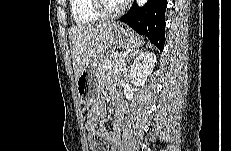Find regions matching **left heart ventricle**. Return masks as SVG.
<instances>
[{
    "instance_id": "b2bd125f",
    "label": "left heart ventricle",
    "mask_w": 231,
    "mask_h": 151,
    "mask_svg": "<svg viewBox=\"0 0 231 151\" xmlns=\"http://www.w3.org/2000/svg\"><path fill=\"white\" fill-rule=\"evenodd\" d=\"M105 4L107 9L113 12L118 9L121 3L117 0H106Z\"/></svg>"
}]
</instances>
